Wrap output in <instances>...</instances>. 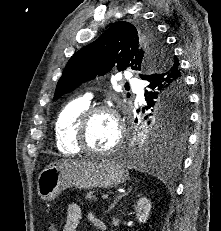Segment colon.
I'll return each instance as SVG.
<instances>
[{
	"label": "colon",
	"mask_w": 221,
	"mask_h": 231,
	"mask_svg": "<svg viewBox=\"0 0 221 231\" xmlns=\"http://www.w3.org/2000/svg\"><path fill=\"white\" fill-rule=\"evenodd\" d=\"M46 231H58V229L54 223H49L46 227Z\"/></svg>",
	"instance_id": "1"
}]
</instances>
